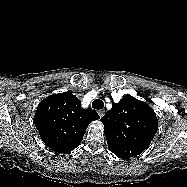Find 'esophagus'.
<instances>
[{
	"label": "esophagus",
	"mask_w": 187,
	"mask_h": 187,
	"mask_svg": "<svg viewBox=\"0 0 187 187\" xmlns=\"http://www.w3.org/2000/svg\"><path fill=\"white\" fill-rule=\"evenodd\" d=\"M105 112H106L105 109H101L98 111V114L100 117H103L105 115Z\"/></svg>",
	"instance_id": "esophagus-1"
}]
</instances>
